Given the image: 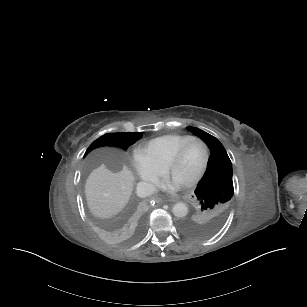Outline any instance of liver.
Here are the masks:
<instances>
[{
  "label": "liver",
  "mask_w": 307,
  "mask_h": 307,
  "mask_svg": "<svg viewBox=\"0 0 307 307\" xmlns=\"http://www.w3.org/2000/svg\"><path fill=\"white\" fill-rule=\"evenodd\" d=\"M134 175L120 162L102 164L94 169L85 183L90 212L100 218H111L128 203L134 186Z\"/></svg>",
  "instance_id": "1"
}]
</instances>
